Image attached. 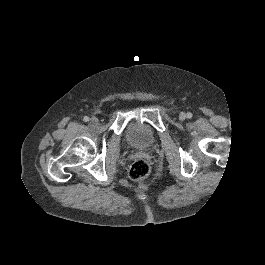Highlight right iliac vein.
I'll return each instance as SVG.
<instances>
[{"label":"right iliac vein","instance_id":"1","mask_svg":"<svg viewBox=\"0 0 265 265\" xmlns=\"http://www.w3.org/2000/svg\"><path fill=\"white\" fill-rule=\"evenodd\" d=\"M98 122V119L96 118V117H92L91 119H90V123L91 124H96Z\"/></svg>","mask_w":265,"mask_h":265}]
</instances>
